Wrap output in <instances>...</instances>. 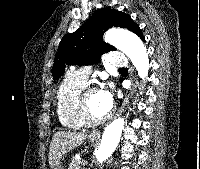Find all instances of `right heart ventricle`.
<instances>
[{
	"instance_id": "e07e8e85",
	"label": "right heart ventricle",
	"mask_w": 200,
	"mask_h": 169,
	"mask_svg": "<svg viewBox=\"0 0 200 169\" xmlns=\"http://www.w3.org/2000/svg\"><path fill=\"white\" fill-rule=\"evenodd\" d=\"M85 85L70 78L60 83L56 93V111L60 124L68 130H80L84 127L78 111L77 99Z\"/></svg>"
}]
</instances>
